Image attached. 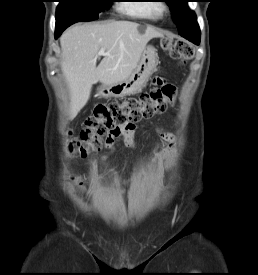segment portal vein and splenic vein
<instances>
[{
    "label": "portal vein and splenic vein",
    "instance_id": "portal-vein-and-splenic-vein-1",
    "mask_svg": "<svg viewBox=\"0 0 258 275\" xmlns=\"http://www.w3.org/2000/svg\"><path fill=\"white\" fill-rule=\"evenodd\" d=\"M98 55H105V49L104 48L100 49Z\"/></svg>",
    "mask_w": 258,
    "mask_h": 275
}]
</instances>
